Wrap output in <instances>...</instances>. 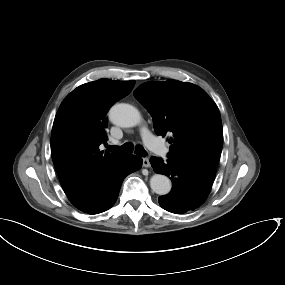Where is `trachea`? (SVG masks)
Wrapping results in <instances>:
<instances>
[{"instance_id":"trachea-1","label":"trachea","mask_w":285,"mask_h":285,"mask_svg":"<svg viewBox=\"0 0 285 285\" xmlns=\"http://www.w3.org/2000/svg\"><path fill=\"white\" fill-rule=\"evenodd\" d=\"M108 149L112 152L117 153V154L126 155V154L132 153L134 147L131 143H125L122 146H108ZM135 154H137L141 157H145L147 155V152L145 151L143 146L138 145L135 148Z\"/></svg>"}]
</instances>
